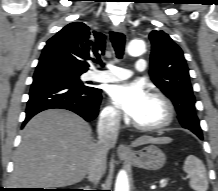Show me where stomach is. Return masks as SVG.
<instances>
[{"label": "stomach", "mask_w": 218, "mask_h": 191, "mask_svg": "<svg viewBox=\"0 0 218 191\" xmlns=\"http://www.w3.org/2000/svg\"><path fill=\"white\" fill-rule=\"evenodd\" d=\"M128 160L138 168L156 171L164 166L166 156L158 147L149 145L140 151L134 152Z\"/></svg>", "instance_id": "1"}]
</instances>
